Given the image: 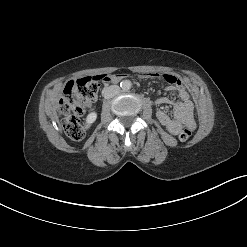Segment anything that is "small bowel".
I'll use <instances>...</instances> for the list:
<instances>
[{"instance_id": "c3829d8e", "label": "small bowel", "mask_w": 247, "mask_h": 247, "mask_svg": "<svg viewBox=\"0 0 247 247\" xmlns=\"http://www.w3.org/2000/svg\"><path fill=\"white\" fill-rule=\"evenodd\" d=\"M145 77H157L169 84L167 91H175L177 92L180 100L174 101L166 96H161L156 99L157 105H170L173 107L174 116L170 117L166 112L163 110H157L156 116L160 123L164 125L169 132L174 135L180 133L184 126L188 127L189 129L193 130L195 128V121L193 118L194 112V105L190 100V95L186 88L184 87L183 83L174 75L172 74H152L147 73L143 74ZM124 75H111L105 77L104 81L106 83H113L120 79H122Z\"/></svg>"}]
</instances>
